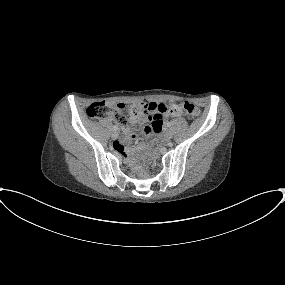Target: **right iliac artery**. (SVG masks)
Masks as SVG:
<instances>
[{"mask_svg": "<svg viewBox=\"0 0 285 285\" xmlns=\"http://www.w3.org/2000/svg\"><path fill=\"white\" fill-rule=\"evenodd\" d=\"M113 130H114V131H117V130H118V127H117V126H113Z\"/></svg>", "mask_w": 285, "mask_h": 285, "instance_id": "obj_1", "label": "right iliac artery"}]
</instances>
